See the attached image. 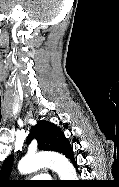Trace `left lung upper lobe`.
Masks as SVG:
<instances>
[{
	"mask_svg": "<svg viewBox=\"0 0 119 187\" xmlns=\"http://www.w3.org/2000/svg\"><path fill=\"white\" fill-rule=\"evenodd\" d=\"M35 138L38 142V148L41 150L55 151L67 155L71 145L64 133L53 123L42 120L31 128L30 136L26 143ZM13 156H9L2 164L0 171V187L13 186L16 182L8 180L12 170Z\"/></svg>",
	"mask_w": 119,
	"mask_h": 187,
	"instance_id": "obj_1",
	"label": "left lung upper lobe"
}]
</instances>
